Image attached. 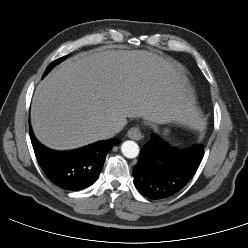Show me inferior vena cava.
Segmentation results:
<instances>
[{
    "label": "inferior vena cava",
    "mask_w": 248,
    "mask_h": 248,
    "mask_svg": "<svg viewBox=\"0 0 248 248\" xmlns=\"http://www.w3.org/2000/svg\"><path fill=\"white\" fill-rule=\"evenodd\" d=\"M121 130H122V127L120 125H114L107 129L106 134L108 135V137H113L115 134H117Z\"/></svg>",
    "instance_id": "1"
}]
</instances>
